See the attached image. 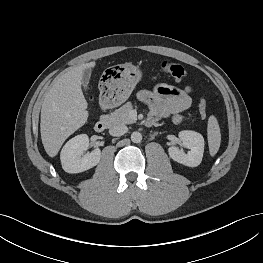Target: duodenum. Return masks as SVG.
Here are the masks:
<instances>
[{
  "label": "duodenum",
  "mask_w": 263,
  "mask_h": 263,
  "mask_svg": "<svg viewBox=\"0 0 263 263\" xmlns=\"http://www.w3.org/2000/svg\"><path fill=\"white\" fill-rule=\"evenodd\" d=\"M102 106L105 108V109H108V105H106L105 103H102ZM108 123H109V119L104 117V118H101L100 120H98L95 125H94V129L96 132L98 133H101L103 132L107 126H108ZM149 123V122H148Z\"/></svg>",
  "instance_id": "1"
}]
</instances>
